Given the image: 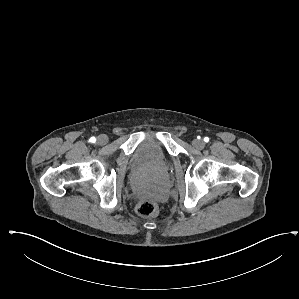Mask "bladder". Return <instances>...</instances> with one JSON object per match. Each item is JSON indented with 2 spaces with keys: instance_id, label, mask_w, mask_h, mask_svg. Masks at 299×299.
Masks as SVG:
<instances>
[{
  "instance_id": "bladder-1",
  "label": "bladder",
  "mask_w": 299,
  "mask_h": 299,
  "mask_svg": "<svg viewBox=\"0 0 299 299\" xmlns=\"http://www.w3.org/2000/svg\"><path fill=\"white\" fill-rule=\"evenodd\" d=\"M134 162L138 166L160 165L165 162V152L155 141H144L134 151Z\"/></svg>"
}]
</instances>
